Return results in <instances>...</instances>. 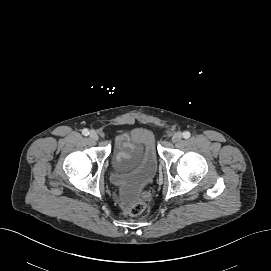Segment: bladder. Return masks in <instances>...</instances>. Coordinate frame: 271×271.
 I'll use <instances>...</instances> for the list:
<instances>
[{"label": "bladder", "instance_id": "obj_1", "mask_svg": "<svg viewBox=\"0 0 271 271\" xmlns=\"http://www.w3.org/2000/svg\"><path fill=\"white\" fill-rule=\"evenodd\" d=\"M133 137L142 146L136 164L125 173L113 168L112 183L123 204L130 203L153 180L158 167L152 138L144 130L135 131Z\"/></svg>", "mask_w": 271, "mask_h": 271}]
</instances>
